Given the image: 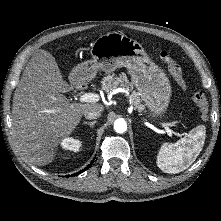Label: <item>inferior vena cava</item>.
I'll use <instances>...</instances> for the list:
<instances>
[{
	"mask_svg": "<svg viewBox=\"0 0 221 221\" xmlns=\"http://www.w3.org/2000/svg\"><path fill=\"white\" fill-rule=\"evenodd\" d=\"M101 115V111L99 109H91L84 112V116L86 119L92 120L97 119Z\"/></svg>",
	"mask_w": 221,
	"mask_h": 221,
	"instance_id": "1",
	"label": "inferior vena cava"
}]
</instances>
